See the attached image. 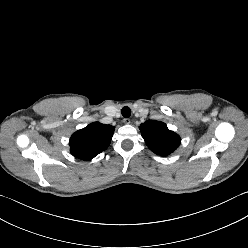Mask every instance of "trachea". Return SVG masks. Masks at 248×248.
Wrapping results in <instances>:
<instances>
[{
	"instance_id": "trachea-1",
	"label": "trachea",
	"mask_w": 248,
	"mask_h": 248,
	"mask_svg": "<svg viewBox=\"0 0 248 248\" xmlns=\"http://www.w3.org/2000/svg\"><path fill=\"white\" fill-rule=\"evenodd\" d=\"M121 113L123 117L128 118L131 115V109L128 106H125L122 108Z\"/></svg>"
}]
</instances>
